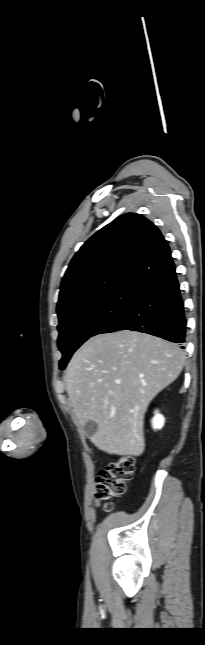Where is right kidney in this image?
I'll return each mask as SVG.
<instances>
[{
	"mask_svg": "<svg viewBox=\"0 0 205 645\" xmlns=\"http://www.w3.org/2000/svg\"><path fill=\"white\" fill-rule=\"evenodd\" d=\"M165 419L164 417L158 413L157 411L155 412V415L152 419V426L154 429H161L164 425Z\"/></svg>",
	"mask_w": 205,
	"mask_h": 645,
	"instance_id": "right-kidney-1",
	"label": "right kidney"
}]
</instances>
